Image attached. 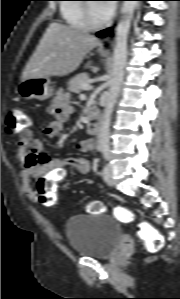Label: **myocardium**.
I'll use <instances>...</instances> for the list:
<instances>
[{
    "label": "myocardium",
    "instance_id": "1",
    "mask_svg": "<svg viewBox=\"0 0 180 299\" xmlns=\"http://www.w3.org/2000/svg\"><path fill=\"white\" fill-rule=\"evenodd\" d=\"M84 14L86 24L91 29H101L109 25L112 21V15L108 16L105 20L101 22L94 21L91 11V3L84 4Z\"/></svg>",
    "mask_w": 180,
    "mask_h": 299
}]
</instances>
